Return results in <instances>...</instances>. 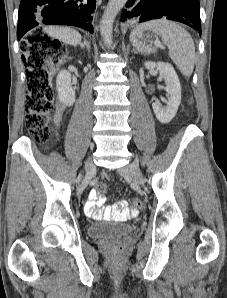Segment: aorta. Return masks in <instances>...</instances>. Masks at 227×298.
<instances>
[{
    "instance_id": "aorta-1",
    "label": "aorta",
    "mask_w": 227,
    "mask_h": 298,
    "mask_svg": "<svg viewBox=\"0 0 227 298\" xmlns=\"http://www.w3.org/2000/svg\"><path fill=\"white\" fill-rule=\"evenodd\" d=\"M126 2L127 0H109L104 10L100 22V33L104 40V43L108 47H110L112 44V31L114 20Z\"/></svg>"
}]
</instances>
